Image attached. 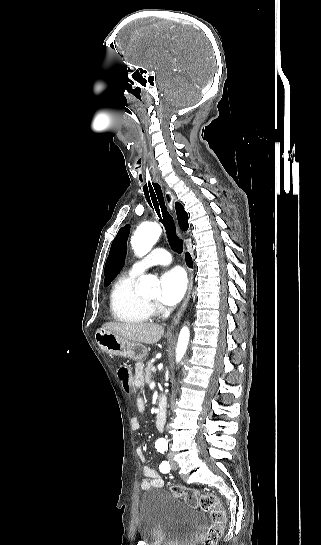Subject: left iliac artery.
<instances>
[{
	"instance_id": "44dca946",
	"label": "left iliac artery",
	"mask_w": 321,
	"mask_h": 545,
	"mask_svg": "<svg viewBox=\"0 0 321 545\" xmlns=\"http://www.w3.org/2000/svg\"><path fill=\"white\" fill-rule=\"evenodd\" d=\"M158 452L160 453H165L167 451V446L166 445H159L156 447ZM159 469L162 473H168L170 471V464L168 461H163L160 466H159Z\"/></svg>"
}]
</instances>
